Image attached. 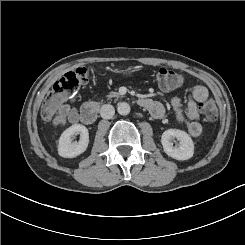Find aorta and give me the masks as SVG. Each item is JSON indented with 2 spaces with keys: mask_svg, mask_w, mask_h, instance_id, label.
Segmentation results:
<instances>
[{
  "mask_svg": "<svg viewBox=\"0 0 245 245\" xmlns=\"http://www.w3.org/2000/svg\"><path fill=\"white\" fill-rule=\"evenodd\" d=\"M130 105L126 102H120L117 106V111L120 115H127L130 113Z\"/></svg>",
  "mask_w": 245,
  "mask_h": 245,
  "instance_id": "762f6f07",
  "label": "aorta"
}]
</instances>
